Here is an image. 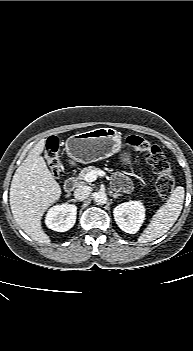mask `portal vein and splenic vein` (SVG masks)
<instances>
[{
    "mask_svg": "<svg viewBox=\"0 0 193 351\" xmlns=\"http://www.w3.org/2000/svg\"><path fill=\"white\" fill-rule=\"evenodd\" d=\"M105 175L106 173L102 170L91 171L85 175V181L91 183L95 181L98 178V176H105Z\"/></svg>",
    "mask_w": 193,
    "mask_h": 351,
    "instance_id": "obj_1",
    "label": "portal vein and splenic vein"
}]
</instances>
